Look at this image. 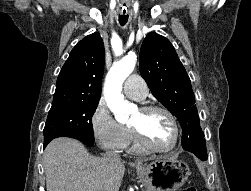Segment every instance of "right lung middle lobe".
<instances>
[{
	"mask_svg": "<svg viewBox=\"0 0 251 191\" xmlns=\"http://www.w3.org/2000/svg\"><path fill=\"white\" fill-rule=\"evenodd\" d=\"M98 102L52 106L44 127V144L57 137L79 135L94 140L92 116Z\"/></svg>",
	"mask_w": 251,
	"mask_h": 191,
	"instance_id": "obj_1",
	"label": "right lung middle lobe"
}]
</instances>
